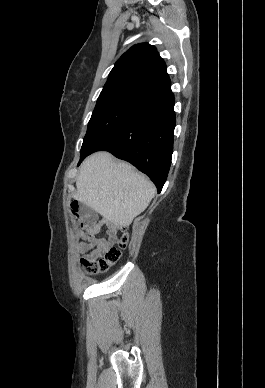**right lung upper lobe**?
I'll list each match as a JSON object with an SVG mask.
<instances>
[{
  "instance_id": "1",
  "label": "right lung upper lobe",
  "mask_w": 265,
  "mask_h": 388,
  "mask_svg": "<svg viewBox=\"0 0 265 388\" xmlns=\"http://www.w3.org/2000/svg\"><path fill=\"white\" fill-rule=\"evenodd\" d=\"M170 89L166 65L156 48L140 43L115 63L101 93H128L149 100Z\"/></svg>"
}]
</instances>
